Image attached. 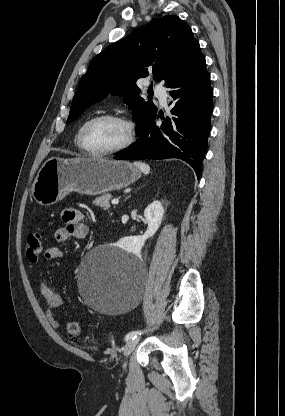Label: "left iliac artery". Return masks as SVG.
<instances>
[{
  "instance_id": "obj_1",
  "label": "left iliac artery",
  "mask_w": 285,
  "mask_h": 416,
  "mask_svg": "<svg viewBox=\"0 0 285 416\" xmlns=\"http://www.w3.org/2000/svg\"><path fill=\"white\" fill-rule=\"evenodd\" d=\"M142 334V331H139V330H137V331H131V332H129L127 335H126V337H125V339L128 341V340H133V339H135L136 337H137V335H141Z\"/></svg>"
}]
</instances>
